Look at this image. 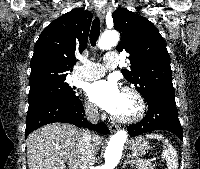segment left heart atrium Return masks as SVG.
<instances>
[{"label":"left heart atrium","instance_id":"left-heart-atrium-1","mask_svg":"<svg viewBox=\"0 0 200 169\" xmlns=\"http://www.w3.org/2000/svg\"><path fill=\"white\" fill-rule=\"evenodd\" d=\"M86 94L94 104L115 115L122 91L115 80L103 79L90 84L86 89Z\"/></svg>","mask_w":200,"mask_h":169}]
</instances>
